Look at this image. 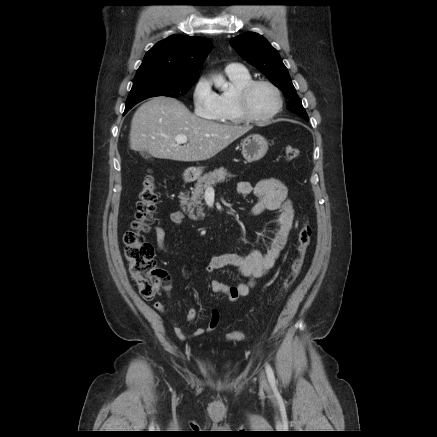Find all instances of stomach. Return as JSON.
Segmentation results:
<instances>
[{"instance_id": "0dacf381", "label": "stomach", "mask_w": 437, "mask_h": 437, "mask_svg": "<svg viewBox=\"0 0 437 437\" xmlns=\"http://www.w3.org/2000/svg\"><path fill=\"white\" fill-rule=\"evenodd\" d=\"M241 146L242 155L248 162L260 160L268 151L267 140L259 134L249 135L243 140ZM192 171L194 174L200 175L202 173V168H193Z\"/></svg>"}]
</instances>
